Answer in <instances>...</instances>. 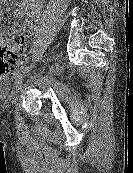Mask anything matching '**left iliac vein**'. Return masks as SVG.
Returning <instances> with one entry per match:
<instances>
[{
  "label": "left iliac vein",
  "mask_w": 133,
  "mask_h": 173,
  "mask_svg": "<svg viewBox=\"0 0 133 173\" xmlns=\"http://www.w3.org/2000/svg\"><path fill=\"white\" fill-rule=\"evenodd\" d=\"M24 78H25V75L16 80L12 90V97H14L20 91L22 84L24 82Z\"/></svg>",
  "instance_id": "left-iliac-vein-1"
}]
</instances>
